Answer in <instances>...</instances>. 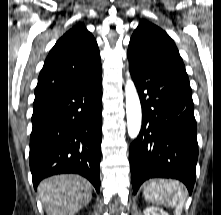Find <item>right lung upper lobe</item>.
Wrapping results in <instances>:
<instances>
[{"label":"right lung upper lobe","instance_id":"1","mask_svg":"<svg viewBox=\"0 0 221 215\" xmlns=\"http://www.w3.org/2000/svg\"><path fill=\"white\" fill-rule=\"evenodd\" d=\"M101 73L93 35L83 24L67 31L48 54L38 78L34 104L85 83Z\"/></svg>","mask_w":221,"mask_h":215}]
</instances>
